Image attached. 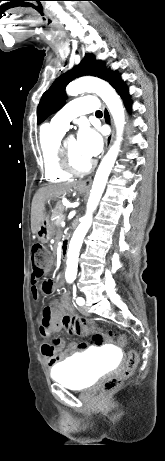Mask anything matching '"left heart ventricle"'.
I'll list each match as a JSON object with an SVG mask.
<instances>
[{"mask_svg":"<svg viewBox=\"0 0 165 461\" xmlns=\"http://www.w3.org/2000/svg\"><path fill=\"white\" fill-rule=\"evenodd\" d=\"M66 145L69 151L70 159L76 167L83 168L90 162V159L85 157L79 150V147H78V144L75 138L69 137L67 139Z\"/></svg>","mask_w":165,"mask_h":461,"instance_id":"obj_1","label":"left heart ventricle"}]
</instances>
